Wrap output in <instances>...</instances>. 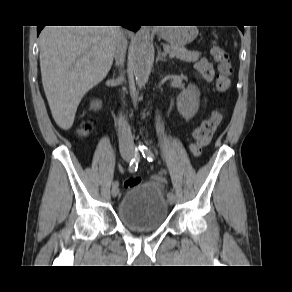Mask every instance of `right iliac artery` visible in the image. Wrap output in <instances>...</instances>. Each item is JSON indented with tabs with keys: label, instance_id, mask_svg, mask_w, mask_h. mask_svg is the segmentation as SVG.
<instances>
[{
	"label": "right iliac artery",
	"instance_id": "obj_1",
	"mask_svg": "<svg viewBox=\"0 0 292 292\" xmlns=\"http://www.w3.org/2000/svg\"><path fill=\"white\" fill-rule=\"evenodd\" d=\"M138 163H139V152L137 151L135 157L129 163V172L133 173L137 171ZM113 187H118V182L115 181L113 183Z\"/></svg>",
	"mask_w": 292,
	"mask_h": 292
}]
</instances>
